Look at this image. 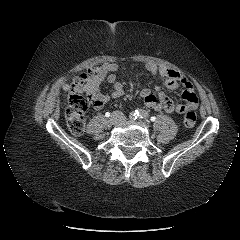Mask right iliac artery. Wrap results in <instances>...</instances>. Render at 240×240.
I'll return each mask as SVG.
<instances>
[{"instance_id": "82829eb1", "label": "right iliac artery", "mask_w": 240, "mask_h": 240, "mask_svg": "<svg viewBox=\"0 0 240 240\" xmlns=\"http://www.w3.org/2000/svg\"><path fill=\"white\" fill-rule=\"evenodd\" d=\"M130 119H132V120H135V119H137V111H135V113H130Z\"/></svg>"}]
</instances>
